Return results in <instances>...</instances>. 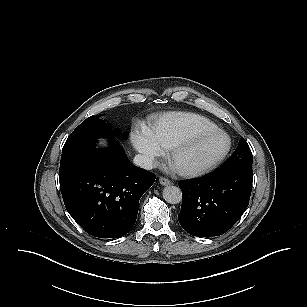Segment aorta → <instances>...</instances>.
<instances>
[{
    "label": "aorta",
    "mask_w": 307,
    "mask_h": 307,
    "mask_svg": "<svg viewBox=\"0 0 307 307\" xmlns=\"http://www.w3.org/2000/svg\"><path fill=\"white\" fill-rule=\"evenodd\" d=\"M163 198L170 204H178L182 201V192L180 188L169 185L163 189Z\"/></svg>",
    "instance_id": "obj_1"
}]
</instances>
